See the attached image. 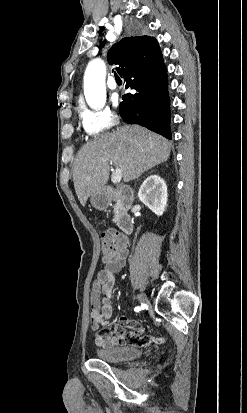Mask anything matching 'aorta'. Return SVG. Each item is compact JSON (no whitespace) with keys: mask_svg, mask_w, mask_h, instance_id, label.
Segmentation results:
<instances>
[{"mask_svg":"<svg viewBox=\"0 0 247 413\" xmlns=\"http://www.w3.org/2000/svg\"><path fill=\"white\" fill-rule=\"evenodd\" d=\"M106 66L100 58L92 60L84 75V95L87 104L93 109H101L106 102Z\"/></svg>","mask_w":247,"mask_h":413,"instance_id":"762f6f07","label":"aorta"}]
</instances>
